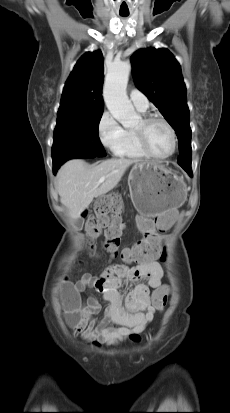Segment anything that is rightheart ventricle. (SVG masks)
Returning a JSON list of instances; mask_svg holds the SVG:
<instances>
[{"mask_svg": "<svg viewBox=\"0 0 230 413\" xmlns=\"http://www.w3.org/2000/svg\"><path fill=\"white\" fill-rule=\"evenodd\" d=\"M116 155L120 158L128 159H142L147 156L141 149L134 130L132 129L125 130L124 139L118 148Z\"/></svg>", "mask_w": 230, "mask_h": 413, "instance_id": "obj_1", "label": "right heart ventricle"}]
</instances>
